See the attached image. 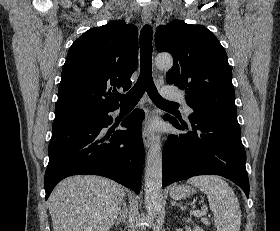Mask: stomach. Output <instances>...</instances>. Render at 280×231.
I'll use <instances>...</instances> for the list:
<instances>
[{"instance_id":"1","label":"stomach","mask_w":280,"mask_h":231,"mask_svg":"<svg viewBox=\"0 0 280 231\" xmlns=\"http://www.w3.org/2000/svg\"><path fill=\"white\" fill-rule=\"evenodd\" d=\"M193 191L194 189L190 187V185H174V187L170 189V197H172V199H186Z\"/></svg>"}]
</instances>
